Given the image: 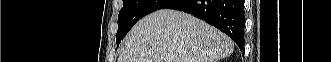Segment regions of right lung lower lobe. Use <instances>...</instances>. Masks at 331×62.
I'll list each match as a JSON object with an SVG mask.
<instances>
[{"label": "right lung lower lobe", "instance_id": "obj_1", "mask_svg": "<svg viewBox=\"0 0 331 62\" xmlns=\"http://www.w3.org/2000/svg\"><path fill=\"white\" fill-rule=\"evenodd\" d=\"M163 9L187 12L227 34L244 51V0H173Z\"/></svg>", "mask_w": 331, "mask_h": 62}]
</instances>
